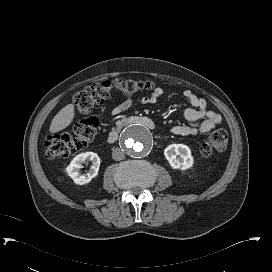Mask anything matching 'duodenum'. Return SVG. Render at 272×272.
<instances>
[{
	"mask_svg": "<svg viewBox=\"0 0 272 272\" xmlns=\"http://www.w3.org/2000/svg\"><path fill=\"white\" fill-rule=\"evenodd\" d=\"M133 122H135L134 119L132 118H128V119H124L122 121H120L119 124H117L113 129L110 130V132L108 133L107 136V142L112 144L114 142H116L119 138V135L121 133V130L123 129V127L132 124ZM146 126L150 129H154L155 126L151 121H147L146 122Z\"/></svg>",
	"mask_w": 272,
	"mask_h": 272,
	"instance_id": "obj_1",
	"label": "duodenum"
}]
</instances>
